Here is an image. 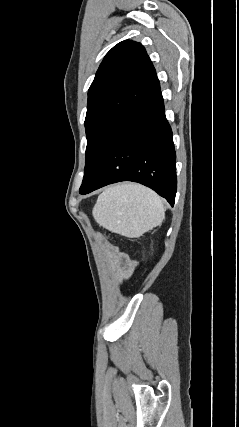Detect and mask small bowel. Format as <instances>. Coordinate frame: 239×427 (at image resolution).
<instances>
[{
	"label": "small bowel",
	"instance_id": "obj_1",
	"mask_svg": "<svg viewBox=\"0 0 239 427\" xmlns=\"http://www.w3.org/2000/svg\"><path fill=\"white\" fill-rule=\"evenodd\" d=\"M107 253L113 263L118 280L123 281L129 278L135 269V261L114 245L107 246Z\"/></svg>",
	"mask_w": 239,
	"mask_h": 427
}]
</instances>
